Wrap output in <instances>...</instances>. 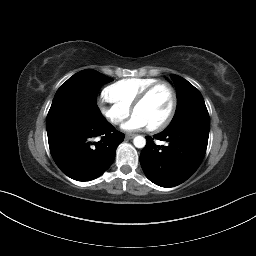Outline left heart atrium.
<instances>
[{"label":"left heart atrium","mask_w":256,"mask_h":256,"mask_svg":"<svg viewBox=\"0 0 256 256\" xmlns=\"http://www.w3.org/2000/svg\"><path fill=\"white\" fill-rule=\"evenodd\" d=\"M149 127L146 121L138 114L133 113L132 116L122 125V129L126 132H135Z\"/></svg>","instance_id":"1"}]
</instances>
